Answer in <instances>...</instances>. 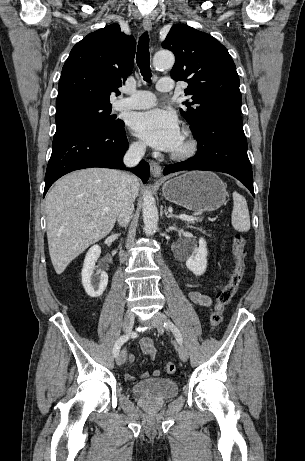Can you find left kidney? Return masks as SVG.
Segmentation results:
<instances>
[{"mask_svg":"<svg viewBox=\"0 0 305 461\" xmlns=\"http://www.w3.org/2000/svg\"><path fill=\"white\" fill-rule=\"evenodd\" d=\"M207 248L204 238L199 239V248L195 249L189 255L186 266L196 276L202 275L207 267Z\"/></svg>","mask_w":305,"mask_h":461,"instance_id":"5707ae66","label":"left kidney"}]
</instances>
